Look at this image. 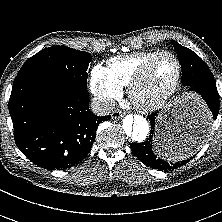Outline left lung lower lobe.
Segmentation results:
<instances>
[{
    "label": "left lung lower lobe",
    "instance_id": "1",
    "mask_svg": "<svg viewBox=\"0 0 222 222\" xmlns=\"http://www.w3.org/2000/svg\"><path fill=\"white\" fill-rule=\"evenodd\" d=\"M183 63H181L182 71L187 77L192 78L195 74H197L198 70L195 65H190L186 62ZM187 88L189 91H193L201 95L212 113V115H208V118L205 120L194 121L175 139L176 150L183 153H193L205 143L208 132L210 131L211 121L212 119L216 120L217 118L219 112V94L217 87L205 86L197 83H190V85H187ZM158 114L159 112L156 111L155 113L147 116L151 123L149 138L142 143H132L130 147L134 155L145 165L162 171H167L186 164L190 159L173 164L162 159H157L154 155L151 149V144L155 133V120L158 117ZM157 160H161L164 166L158 167Z\"/></svg>",
    "mask_w": 222,
    "mask_h": 222
}]
</instances>
